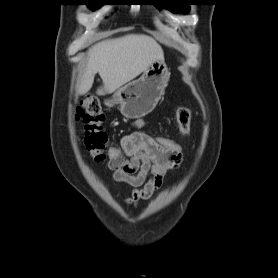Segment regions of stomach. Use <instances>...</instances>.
Instances as JSON below:
<instances>
[{"label":"stomach","instance_id":"stomach-1","mask_svg":"<svg viewBox=\"0 0 278 278\" xmlns=\"http://www.w3.org/2000/svg\"><path fill=\"white\" fill-rule=\"evenodd\" d=\"M169 79L170 71L164 60L156 61L143 72L139 79L118 89L113 98L105 104L108 107L118 104L121 114L126 118H141L155 108Z\"/></svg>","mask_w":278,"mask_h":278}]
</instances>
